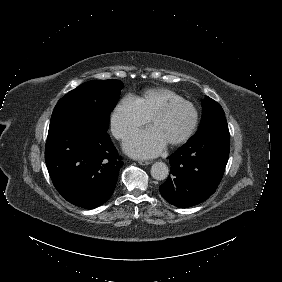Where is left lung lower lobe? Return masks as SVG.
<instances>
[{
  "label": "left lung lower lobe",
  "instance_id": "left-lung-lower-lobe-1",
  "mask_svg": "<svg viewBox=\"0 0 282 282\" xmlns=\"http://www.w3.org/2000/svg\"><path fill=\"white\" fill-rule=\"evenodd\" d=\"M229 147L227 123H217L198 131L168 157L171 175L159 188L163 198L179 208L208 199L223 177Z\"/></svg>",
  "mask_w": 282,
  "mask_h": 282
}]
</instances>
